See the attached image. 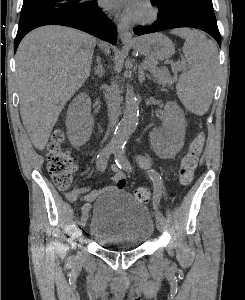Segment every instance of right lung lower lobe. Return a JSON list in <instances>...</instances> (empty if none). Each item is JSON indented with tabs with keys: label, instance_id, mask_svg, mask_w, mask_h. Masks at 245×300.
<instances>
[{
	"label": "right lung lower lobe",
	"instance_id": "right-lung-lower-lobe-1",
	"mask_svg": "<svg viewBox=\"0 0 245 300\" xmlns=\"http://www.w3.org/2000/svg\"><path fill=\"white\" fill-rule=\"evenodd\" d=\"M44 25H63L73 27L94 35L113 45L116 43V25L96 4L82 13H63L24 26H19L14 42V52H16L20 41L28 32Z\"/></svg>",
	"mask_w": 245,
	"mask_h": 300
}]
</instances>
